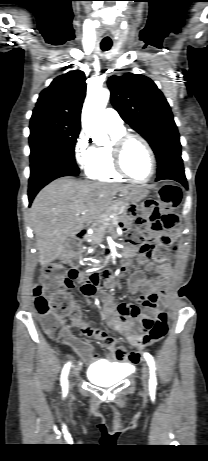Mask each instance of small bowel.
I'll return each instance as SVG.
<instances>
[{
    "label": "small bowel",
    "mask_w": 208,
    "mask_h": 461,
    "mask_svg": "<svg viewBox=\"0 0 208 461\" xmlns=\"http://www.w3.org/2000/svg\"><path fill=\"white\" fill-rule=\"evenodd\" d=\"M141 209V204H125L124 212L126 215L124 219L129 221L131 217H140ZM159 239L160 249H175L177 242L181 239V234L178 229H161ZM124 253L126 260L136 258L141 266L155 271L158 277L152 280L148 279L143 271L133 272L127 280L129 290L132 293L141 292L142 296L134 303L118 304L113 295H103V317L112 329L124 335L128 341L140 340L145 330V317L141 316V311L146 310L155 315L159 312L160 307L169 300L168 289L173 275L171 264L175 252L164 251V258H154V251L140 252L134 245L128 244ZM126 264H124L123 269H125ZM68 265L70 268H77L79 262L78 260H69ZM110 277V271H90L89 277H82L80 283L77 284V289L81 291V298L88 299V303L92 304L98 289H101L103 285L113 287L114 281L110 280ZM72 326L79 328L85 335L103 342L110 351L106 359L110 362L120 363L126 374L129 372L131 364L138 361L139 354H134L129 346L116 347L114 338L109 336L106 331L94 328L89 322L76 318L72 320ZM62 330L67 335V338L60 339L62 343L71 347L83 361L93 362L100 359L99 354L92 349L88 342L77 338L67 327Z\"/></svg>",
    "instance_id": "1"
}]
</instances>
